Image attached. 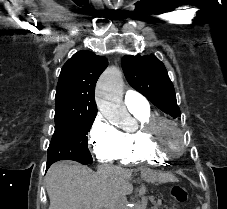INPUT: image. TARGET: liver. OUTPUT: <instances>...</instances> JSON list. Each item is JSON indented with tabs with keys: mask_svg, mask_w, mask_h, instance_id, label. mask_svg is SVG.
Wrapping results in <instances>:
<instances>
[{
	"mask_svg": "<svg viewBox=\"0 0 227 209\" xmlns=\"http://www.w3.org/2000/svg\"><path fill=\"white\" fill-rule=\"evenodd\" d=\"M123 177L130 175L108 165L93 173L74 161H59L46 175L49 209H104L109 203L111 179Z\"/></svg>",
	"mask_w": 227,
	"mask_h": 209,
	"instance_id": "obj_1",
	"label": "liver"
}]
</instances>
